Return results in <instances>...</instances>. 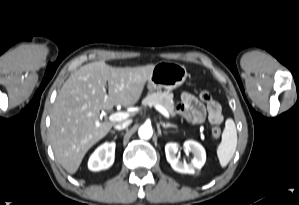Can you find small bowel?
Listing matches in <instances>:
<instances>
[{
	"instance_id": "small-bowel-1",
	"label": "small bowel",
	"mask_w": 299,
	"mask_h": 205,
	"mask_svg": "<svg viewBox=\"0 0 299 205\" xmlns=\"http://www.w3.org/2000/svg\"><path fill=\"white\" fill-rule=\"evenodd\" d=\"M179 110L193 124L202 123L208 115L211 123H214V115L218 116V122H222V114L220 104L211 100L204 105L194 95L183 93L181 96V104Z\"/></svg>"
}]
</instances>
